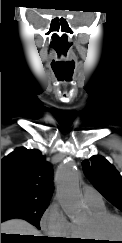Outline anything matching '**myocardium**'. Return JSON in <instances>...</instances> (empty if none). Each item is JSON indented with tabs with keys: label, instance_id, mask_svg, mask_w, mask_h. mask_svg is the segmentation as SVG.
Returning a JSON list of instances; mask_svg holds the SVG:
<instances>
[{
	"label": "myocardium",
	"instance_id": "obj_1",
	"mask_svg": "<svg viewBox=\"0 0 122 243\" xmlns=\"http://www.w3.org/2000/svg\"><path fill=\"white\" fill-rule=\"evenodd\" d=\"M110 220H118L122 222V216L109 212L98 216H91L90 220L84 225L86 235L90 239L95 240L103 238L101 231L105 224Z\"/></svg>",
	"mask_w": 122,
	"mask_h": 243
}]
</instances>
